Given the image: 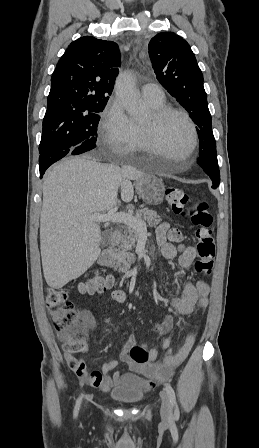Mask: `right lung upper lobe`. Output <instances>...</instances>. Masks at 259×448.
Instances as JSON below:
<instances>
[{
  "instance_id": "1",
  "label": "right lung upper lobe",
  "mask_w": 259,
  "mask_h": 448,
  "mask_svg": "<svg viewBox=\"0 0 259 448\" xmlns=\"http://www.w3.org/2000/svg\"><path fill=\"white\" fill-rule=\"evenodd\" d=\"M119 66L115 42L92 36L72 42L51 77L46 113L67 114L105 106Z\"/></svg>"
}]
</instances>
